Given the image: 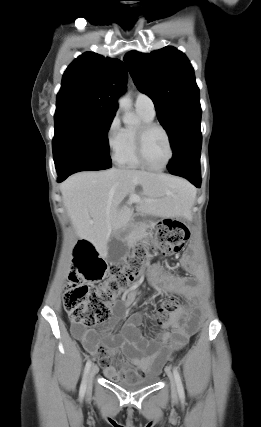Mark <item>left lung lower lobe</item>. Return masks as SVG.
I'll list each match as a JSON object with an SVG mask.
<instances>
[{
	"label": "left lung lower lobe",
	"mask_w": 261,
	"mask_h": 427,
	"mask_svg": "<svg viewBox=\"0 0 261 427\" xmlns=\"http://www.w3.org/2000/svg\"><path fill=\"white\" fill-rule=\"evenodd\" d=\"M202 136L200 126L184 131L173 145V157L168 170L173 175L186 178L197 188L200 187V152Z\"/></svg>",
	"instance_id": "0a47b994"
}]
</instances>
